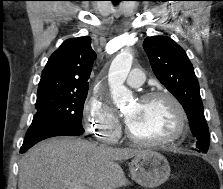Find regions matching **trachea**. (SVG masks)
<instances>
[{
	"mask_svg": "<svg viewBox=\"0 0 223 189\" xmlns=\"http://www.w3.org/2000/svg\"><path fill=\"white\" fill-rule=\"evenodd\" d=\"M113 1L114 4H117L118 2H120L121 0H111Z\"/></svg>",
	"mask_w": 223,
	"mask_h": 189,
	"instance_id": "3493384b",
	"label": "trachea"
}]
</instances>
